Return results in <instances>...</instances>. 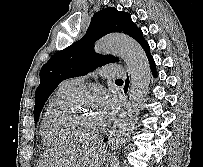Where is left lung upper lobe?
Masks as SVG:
<instances>
[{
	"mask_svg": "<svg viewBox=\"0 0 203 167\" xmlns=\"http://www.w3.org/2000/svg\"><path fill=\"white\" fill-rule=\"evenodd\" d=\"M112 32L127 34L140 45L146 42L142 31L131 20L129 13L119 12L112 7L95 13L85 36L71 46L56 52L41 68L40 84L35 92V123L45 102L61 81L86 75L97 67L119 61L115 56L97 54L93 49L96 40Z\"/></svg>",
	"mask_w": 203,
	"mask_h": 167,
	"instance_id": "1",
	"label": "left lung upper lobe"
}]
</instances>
